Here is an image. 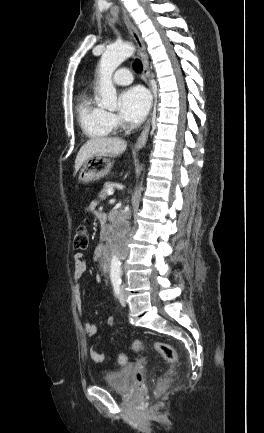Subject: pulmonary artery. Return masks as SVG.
I'll return each instance as SVG.
<instances>
[{
  "instance_id": "obj_1",
  "label": "pulmonary artery",
  "mask_w": 264,
  "mask_h": 433,
  "mask_svg": "<svg viewBox=\"0 0 264 433\" xmlns=\"http://www.w3.org/2000/svg\"><path fill=\"white\" fill-rule=\"evenodd\" d=\"M113 81L117 85H128L132 83L133 78L130 71L126 68L119 69L114 75Z\"/></svg>"
}]
</instances>
